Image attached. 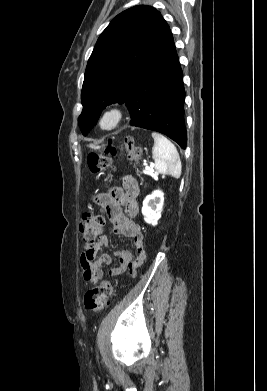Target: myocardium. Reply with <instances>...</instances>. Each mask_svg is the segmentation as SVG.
Here are the masks:
<instances>
[{"instance_id": "myocardium-1", "label": "myocardium", "mask_w": 267, "mask_h": 391, "mask_svg": "<svg viewBox=\"0 0 267 391\" xmlns=\"http://www.w3.org/2000/svg\"><path fill=\"white\" fill-rule=\"evenodd\" d=\"M111 116L113 123L110 126H104L103 122L106 117ZM125 112L119 105H111L106 107L98 118V126L104 132H111L116 130L124 121Z\"/></svg>"}]
</instances>
